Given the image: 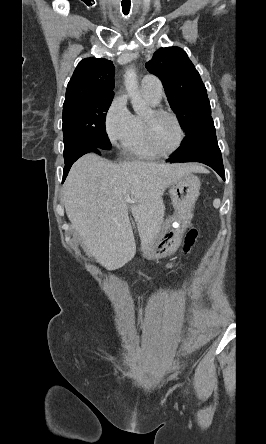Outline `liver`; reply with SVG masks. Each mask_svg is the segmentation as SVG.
Wrapping results in <instances>:
<instances>
[{"instance_id":"1","label":"liver","mask_w":266,"mask_h":444,"mask_svg":"<svg viewBox=\"0 0 266 444\" xmlns=\"http://www.w3.org/2000/svg\"><path fill=\"white\" fill-rule=\"evenodd\" d=\"M202 171L196 164H117L86 154L73 164L63 186L66 214L87 253L106 269L115 270L136 253L128 209L146 248L163 224L166 188L187 174Z\"/></svg>"}]
</instances>
